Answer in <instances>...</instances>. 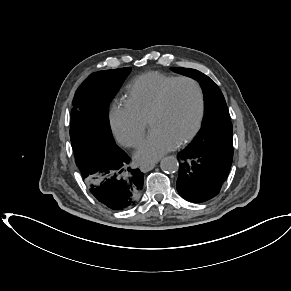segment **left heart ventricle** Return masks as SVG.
<instances>
[{
    "label": "left heart ventricle",
    "instance_id": "left-heart-ventricle-1",
    "mask_svg": "<svg viewBox=\"0 0 291 291\" xmlns=\"http://www.w3.org/2000/svg\"><path fill=\"white\" fill-rule=\"evenodd\" d=\"M198 110L195 87L188 82H180L172 89L166 109L151 122V130L161 131L178 142L195 126Z\"/></svg>",
    "mask_w": 291,
    "mask_h": 291
}]
</instances>
